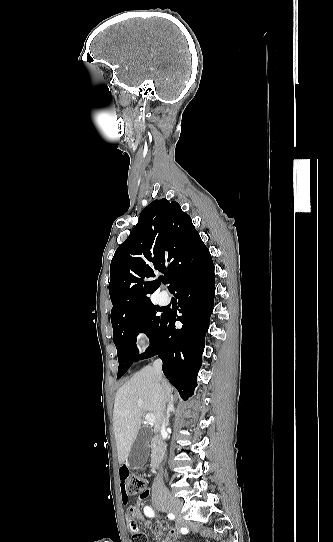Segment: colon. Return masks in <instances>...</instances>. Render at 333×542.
I'll return each instance as SVG.
<instances>
[{"mask_svg":"<svg viewBox=\"0 0 333 542\" xmlns=\"http://www.w3.org/2000/svg\"><path fill=\"white\" fill-rule=\"evenodd\" d=\"M146 492V482L144 478L136 473L131 472V476L128 477V494L137 495L141 497ZM126 509L128 512L133 513L136 511L137 506L135 503L130 502L127 504ZM133 530H137L136 525H132ZM132 542H149V537L145 532H136L132 537Z\"/></svg>","mask_w":333,"mask_h":542,"instance_id":"1","label":"colon"}]
</instances>
